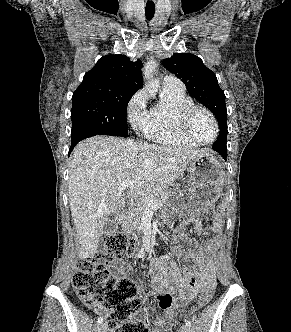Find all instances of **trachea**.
Returning <instances> with one entry per match:
<instances>
[{
  "instance_id": "3493384b",
  "label": "trachea",
  "mask_w": 291,
  "mask_h": 332,
  "mask_svg": "<svg viewBox=\"0 0 291 332\" xmlns=\"http://www.w3.org/2000/svg\"><path fill=\"white\" fill-rule=\"evenodd\" d=\"M154 13H155V5L153 2H148L146 4V8H145V15H146V18L147 20H151L154 16Z\"/></svg>"
}]
</instances>
